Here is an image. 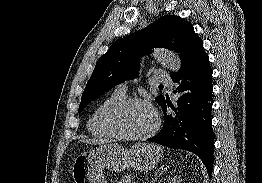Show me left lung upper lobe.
<instances>
[{"label":"left lung upper lobe","mask_w":262,"mask_h":183,"mask_svg":"<svg viewBox=\"0 0 262 183\" xmlns=\"http://www.w3.org/2000/svg\"><path fill=\"white\" fill-rule=\"evenodd\" d=\"M152 48H167L179 54L181 67L203 48L191 23L179 16L165 15L145 29L115 41L97 61L82 94L78 112L114 85L137 77L140 58ZM175 72H170V76ZM160 104L163 95L155 98Z\"/></svg>","instance_id":"5c2ea615"}]
</instances>
